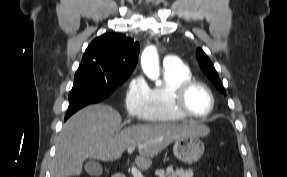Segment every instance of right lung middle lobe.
<instances>
[{"mask_svg": "<svg viewBox=\"0 0 287 177\" xmlns=\"http://www.w3.org/2000/svg\"><path fill=\"white\" fill-rule=\"evenodd\" d=\"M126 80L127 78H122L113 82H106L98 74L78 68L74 76V85L68 98L70 100L83 95H97L108 98Z\"/></svg>", "mask_w": 287, "mask_h": 177, "instance_id": "dd1d6c3e", "label": "right lung middle lobe"}]
</instances>
